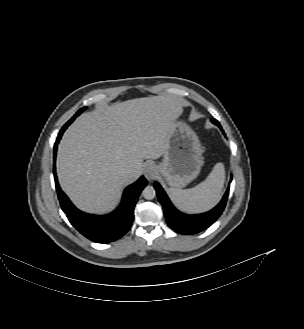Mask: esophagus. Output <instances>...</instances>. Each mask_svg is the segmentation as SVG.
<instances>
[{
	"instance_id": "esophagus-1",
	"label": "esophagus",
	"mask_w": 304,
	"mask_h": 329,
	"mask_svg": "<svg viewBox=\"0 0 304 329\" xmlns=\"http://www.w3.org/2000/svg\"><path fill=\"white\" fill-rule=\"evenodd\" d=\"M157 174V168L153 164H148L144 169V175L149 181L153 180L157 176Z\"/></svg>"
}]
</instances>
